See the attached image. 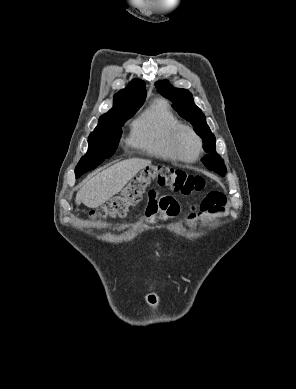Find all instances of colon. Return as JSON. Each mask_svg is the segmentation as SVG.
<instances>
[{"instance_id":"obj_1","label":"colon","mask_w":296,"mask_h":389,"mask_svg":"<svg viewBox=\"0 0 296 389\" xmlns=\"http://www.w3.org/2000/svg\"><path fill=\"white\" fill-rule=\"evenodd\" d=\"M153 182L182 195L202 192L206 187V182L201 176L192 175L163 164L154 165L144 169L134 177L119 195L91 211L90 216L102 219L125 216L130 207L141 201L145 189Z\"/></svg>"}]
</instances>
